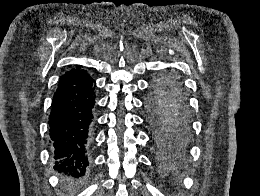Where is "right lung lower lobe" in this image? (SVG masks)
<instances>
[{"label":"right lung lower lobe","mask_w":260,"mask_h":196,"mask_svg":"<svg viewBox=\"0 0 260 196\" xmlns=\"http://www.w3.org/2000/svg\"><path fill=\"white\" fill-rule=\"evenodd\" d=\"M96 82L85 71L63 75L53 96L48 140L54 169L78 177L89 165Z\"/></svg>","instance_id":"1"}]
</instances>
